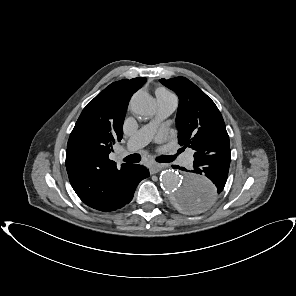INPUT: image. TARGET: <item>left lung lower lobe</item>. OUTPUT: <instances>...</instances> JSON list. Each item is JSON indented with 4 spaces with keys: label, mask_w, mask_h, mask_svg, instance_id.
Instances as JSON below:
<instances>
[{
    "label": "left lung lower lobe",
    "mask_w": 296,
    "mask_h": 296,
    "mask_svg": "<svg viewBox=\"0 0 296 296\" xmlns=\"http://www.w3.org/2000/svg\"><path fill=\"white\" fill-rule=\"evenodd\" d=\"M230 151L203 156L194 160L193 169L186 170L183 167L173 166L183 171L191 172L187 177H208L214 184V189L209 191H198L196 194H182L183 208L192 212H198L210 206L218 194L224 189L230 166Z\"/></svg>",
    "instance_id": "1"
}]
</instances>
